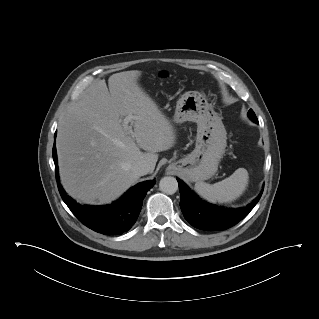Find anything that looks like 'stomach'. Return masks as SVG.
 Wrapping results in <instances>:
<instances>
[{
    "label": "stomach",
    "instance_id": "1",
    "mask_svg": "<svg viewBox=\"0 0 319 319\" xmlns=\"http://www.w3.org/2000/svg\"><path fill=\"white\" fill-rule=\"evenodd\" d=\"M173 121L197 123V135L195 149L169 165L168 169L190 182H202L213 177L227 146L222 118L202 93L188 91L177 101Z\"/></svg>",
    "mask_w": 319,
    "mask_h": 319
}]
</instances>
